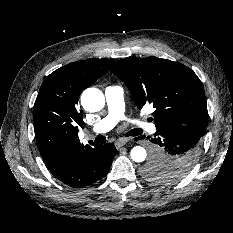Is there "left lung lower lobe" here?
<instances>
[{
  "label": "left lung lower lobe",
  "instance_id": "0a47b994",
  "mask_svg": "<svg viewBox=\"0 0 233 233\" xmlns=\"http://www.w3.org/2000/svg\"><path fill=\"white\" fill-rule=\"evenodd\" d=\"M204 134V131L192 127L157 130L154 137H146L154 144L151 161L162 162L163 167H168L166 172L173 175H177L175 169L193 167L199 157ZM139 138H145V135Z\"/></svg>",
  "mask_w": 233,
  "mask_h": 233
}]
</instances>
